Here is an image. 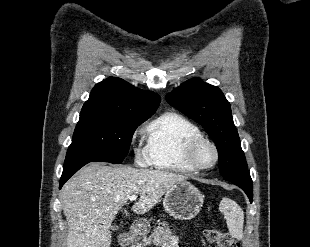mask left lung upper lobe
Wrapping results in <instances>:
<instances>
[{
	"label": "left lung upper lobe",
	"instance_id": "1",
	"mask_svg": "<svg viewBox=\"0 0 310 247\" xmlns=\"http://www.w3.org/2000/svg\"><path fill=\"white\" fill-rule=\"evenodd\" d=\"M166 101L205 128L218 149L222 176L248 172L230 103L219 88L193 78L167 94Z\"/></svg>",
	"mask_w": 310,
	"mask_h": 247
}]
</instances>
